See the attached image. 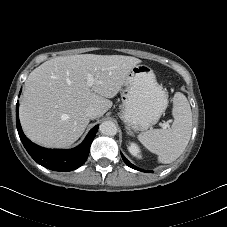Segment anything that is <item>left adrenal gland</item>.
<instances>
[{
	"label": "left adrenal gland",
	"mask_w": 227,
	"mask_h": 227,
	"mask_svg": "<svg viewBox=\"0 0 227 227\" xmlns=\"http://www.w3.org/2000/svg\"><path fill=\"white\" fill-rule=\"evenodd\" d=\"M126 132H127V134H129V135H133L132 131H131L130 128H128V127H126Z\"/></svg>",
	"instance_id": "1"
}]
</instances>
